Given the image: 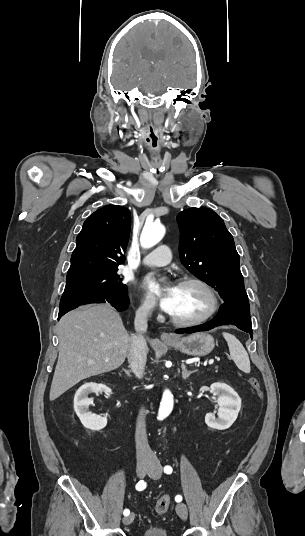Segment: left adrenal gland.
<instances>
[{
  "label": "left adrenal gland",
  "instance_id": "obj_1",
  "mask_svg": "<svg viewBox=\"0 0 305 536\" xmlns=\"http://www.w3.org/2000/svg\"><path fill=\"white\" fill-rule=\"evenodd\" d=\"M191 374H194V372H188V370H186L185 366H182V378H184V380H186V378H189V376H191Z\"/></svg>",
  "mask_w": 305,
  "mask_h": 536
}]
</instances>
